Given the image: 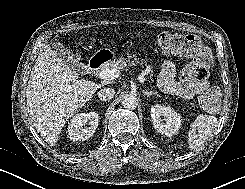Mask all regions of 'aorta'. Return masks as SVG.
<instances>
[{
  "label": "aorta",
  "instance_id": "aorta-1",
  "mask_svg": "<svg viewBox=\"0 0 245 189\" xmlns=\"http://www.w3.org/2000/svg\"><path fill=\"white\" fill-rule=\"evenodd\" d=\"M122 105L124 108L134 109L138 105V99L134 94H131V93L126 94L123 97Z\"/></svg>",
  "mask_w": 245,
  "mask_h": 189
}]
</instances>
